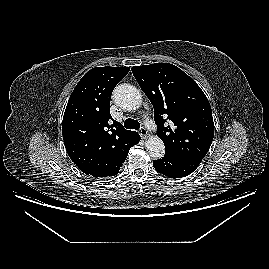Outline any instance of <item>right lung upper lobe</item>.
<instances>
[{
  "label": "right lung upper lobe",
  "instance_id": "1",
  "mask_svg": "<svg viewBox=\"0 0 269 269\" xmlns=\"http://www.w3.org/2000/svg\"><path fill=\"white\" fill-rule=\"evenodd\" d=\"M129 70L93 68L69 98L62 122L63 140L71 160L87 175L97 178L118 174L125 161L124 151L136 134L110 115L112 91Z\"/></svg>",
  "mask_w": 269,
  "mask_h": 269
}]
</instances>
